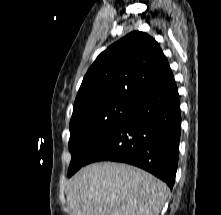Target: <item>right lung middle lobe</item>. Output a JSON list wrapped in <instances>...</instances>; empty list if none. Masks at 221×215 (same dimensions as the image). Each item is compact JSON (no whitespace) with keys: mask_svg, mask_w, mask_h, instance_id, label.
<instances>
[{"mask_svg":"<svg viewBox=\"0 0 221 215\" xmlns=\"http://www.w3.org/2000/svg\"><path fill=\"white\" fill-rule=\"evenodd\" d=\"M133 102L106 100L73 108L70 120L68 176L86 165L89 156L102 140L130 111Z\"/></svg>","mask_w":221,"mask_h":215,"instance_id":"dd1d6c3e","label":"right lung middle lobe"}]
</instances>
